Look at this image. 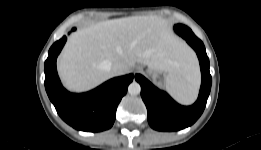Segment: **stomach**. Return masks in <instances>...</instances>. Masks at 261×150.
<instances>
[{"mask_svg":"<svg viewBox=\"0 0 261 150\" xmlns=\"http://www.w3.org/2000/svg\"><path fill=\"white\" fill-rule=\"evenodd\" d=\"M171 75L167 73V75H162V72L156 70H150L149 76L158 84L166 83L168 76Z\"/></svg>","mask_w":261,"mask_h":150,"instance_id":"0dacf381","label":"stomach"}]
</instances>
